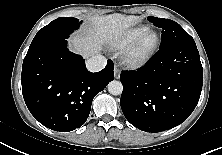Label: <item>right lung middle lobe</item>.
<instances>
[{"label":"right lung middle lobe","instance_id":"right-lung-middle-lobe-1","mask_svg":"<svg viewBox=\"0 0 222 155\" xmlns=\"http://www.w3.org/2000/svg\"><path fill=\"white\" fill-rule=\"evenodd\" d=\"M78 27V19L73 17H59L56 20H53L38 31L27 54L36 51L49 42L68 38V36Z\"/></svg>","mask_w":222,"mask_h":155}]
</instances>
